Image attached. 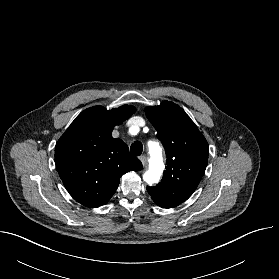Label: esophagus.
<instances>
[{
	"mask_svg": "<svg viewBox=\"0 0 279 279\" xmlns=\"http://www.w3.org/2000/svg\"><path fill=\"white\" fill-rule=\"evenodd\" d=\"M139 159L142 162L143 166L147 164V157L145 155L140 156Z\"/></svg>",
	"mask_w": 279,
	"mask_h": 279,
	"instance_id": "34e87169",
	"label": "esophagus"
}]
</instances>
